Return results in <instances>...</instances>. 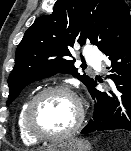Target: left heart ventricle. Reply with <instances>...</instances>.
I'll return each mask as SVG.
<instances>
[{"label":"left heart ventricle","mask_w":131,"mask_h":151,"mask_svg":"<svg viewBox=\"0 0 131 151\" xmlns=\"http://www.w3.org/2000/svg\"><path fill=\"white\" fill-rule=\"evenodd\" d=\"M77 116L75 102L63 93L42 98L33 114L34 128L42 134L56 135L69 129Z\"/></svg>","instance_id":"obj_1"}]
</instances>
